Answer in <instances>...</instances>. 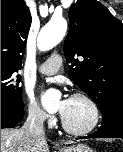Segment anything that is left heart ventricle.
I'll use <instances>...</instances> for the list:
<instances>
[{
  "label": "left heart ventricle",
  "mask_w": 123,
  "mask_h": 152,
  "mask_svg": "<svg viewBox=\"0 0 123 152\" xmlns=\"http://www.w3.org/2000/svg\"><path fill=\"white\" fill-rule=\"evenodd\" d=\"M58 107H60V103ZM92 117V110L84 100L69 99L63 116L67 125L74 129H83L91 123Z\"/></svg>",
  "instance_id": "left-heart-ventricle-1"
}]
</instances>
